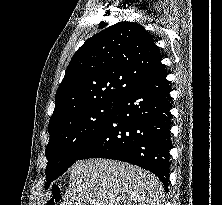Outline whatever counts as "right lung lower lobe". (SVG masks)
I'll return each mask as SVG.
<instances>
[{
  "label": "right lung lower lobe",
  "mask_w": 222,
  "mask_h": 205,
  "mask_svg": "<svg viewBox=\"0 0 222 205\" xmlns=\"http://www.w3.org/2000/svg\"><path fill=\"white\" fill-rule=\"evenodd\" d=\"M166 71L132 89L78 157L125 161L169 185L170 88Z\"/></svg>",
  "instance_id": "1"
}]
</instances>
